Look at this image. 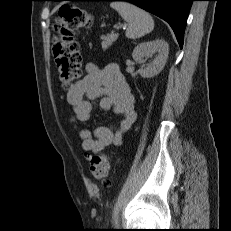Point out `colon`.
Instances as JSON below:
<instances>
[{
  "mask_svg": "<svg viewBox=\"0 0 231 231\" xmlns=\"http://www.w3.org/2000/svg\"><path fill=\"white\" fill-rule=\"evenodd\" d=\"M91 24V15L76 5L66 4L58 11L53 56L59 79L65 87H71L81 76L82 58L75 32ZM109 171L110 160L106 154L99 152L90 157V173L94 179L105 181Z\"/></svg>",
  "mask_w": 231,
  "mask_h": 231,
  "instance_id": "5ec220e1",
  "label": "colon"
}]
</instances>
